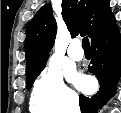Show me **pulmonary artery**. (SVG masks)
<instances>
[{"mask_svg": "<svg viewBox=\"0 0 121 113\" xmlns=\"http://www.w3.org/2000/svg\"><path fill=\"white\" fill-rule=\"evenodd\" d=\"M68 56L74 61H80L84 54L77 42H72L68 48Z\"/></svg>", "mask_w": 121, "mask_h": 113, "instance_id": "obj_1", "label": "pulmonary artery"}]
</instances>
